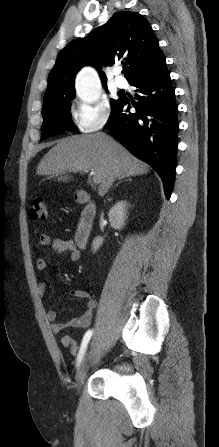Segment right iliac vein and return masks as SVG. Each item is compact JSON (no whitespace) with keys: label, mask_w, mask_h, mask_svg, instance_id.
<instances>
[{"label":"right iliac vein","mask_w":219,"mask_h":447,"mask_svg":"<svg viewBox=\"0 0 219 447\" xmlns=\"http://www.w3.org/2000/svg\"><path fill=\"white\" fill-rule=\"evenodd\" d=\"M91 346L87 349L85 355L83 356L76 374L77 387H79L85 380L86 374L89 368L90 356H91Z\"/></svg>","instance_id":"1"}]
</instances>
